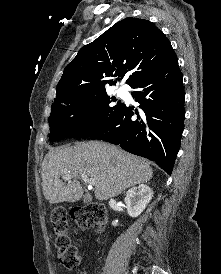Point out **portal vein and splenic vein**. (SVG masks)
Here are the masks:
<instances>
[{
	"label": "portal vein and splenic vein",
	"mask_w": 221,
	"mask_h": 274,
	"mask_svg": "<svg viewBox=\"0 0 221 274\" xmlns=\"http://www.w3.org/2000/svg\"><path fill=\"white\" fill-rule=\"evenodd\" d=\"M63 178H64V179H69V178H70V175H69V174H66V175L63 176ZM81 178H82L83 182H84L85 184H88L89 186H93V185L96 184L95 179L89 178V177H88L87 175H85V174H81Z\"/></svg>",
	"instance_id": "1"
}]
</instances>
